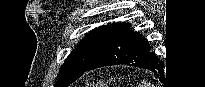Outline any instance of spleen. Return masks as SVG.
Returning a JSON list of instances; mask_svg holds the SVG:
<instances>
[{
    "label": "spleen",
    "mask_w": 205,
    "mask_h": 87,
    "mask_svg": "<svg viewBox=\"0 0 205 87\" xmlns=\"http://www.w3.org/2000/svg\"><path fill=\"white\" fill-rule=\"evenodd\" d=\"M142 87H153L151 83L145 82L143 83Z\"/></svg>",
    "instance_id": "obj_1"
}]
</instances>
